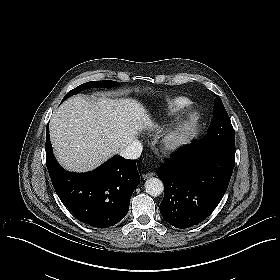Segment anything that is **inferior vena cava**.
I'll list each match as a JSON object with an SVG mask.
<instances>
[{"label": "inferior vena cava", "mask_w": 280, "mask_h": 280, "mask_svg": "<svg viewBox=\"0 0 280 280\" xmlns=\"http://www.w3.org/2000/svg\"><path fill=\"white\" fill-rule=\"evenodd\" d=\"M142 149V144L139 141L135 140L125 146L121 150L120 155L127 159H137L140 157Z\"/></svg>", "instance_id": "obj_1"}]
</instances>
